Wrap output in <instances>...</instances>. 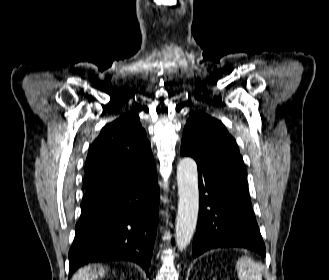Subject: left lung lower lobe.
<instances>
[{"label":"left lung lower lobe","mask_w":329,"mask_h":280,"mask_svg":"<svg viewBox=\"0 0 329 280\" xmlns=\"http://www.w3.org/2000/svg\"><path fill=\"white\" fill-rule=\"evenodd\" d=\"M220 192L199 187V222L193 240V257L216 248H247L265 257L262 240L246 185Z\"/></svg>","instance_id":"obj_1"}]
</instances>
